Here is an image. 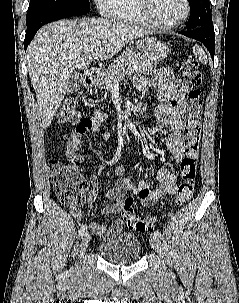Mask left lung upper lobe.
I'll return each instance as SVG.
<instances>
[{
  "label": "left lung upper lobe",
  "instance_id": "1",
  "mask_svg": "<svg viewBox=\"0 0 239 303\" xmlns=\"http://www.w3.org/2000/svg\"><path fill=\"white\" fill-rule=\"evenodd\" d=\"M190 16L186 26L194 28H213L209 0H189Z\"/></svg>",
  "mask_w": 239,
  "mask_h": 303
}]
</instances>
